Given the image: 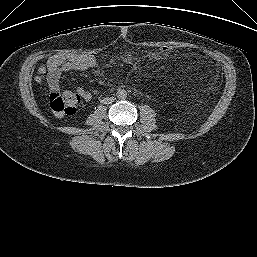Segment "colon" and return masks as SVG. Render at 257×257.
Instances as JSON below:
<instances>
[{
	"mask_svg": "<svg viewBox=\"0 0 257 257\" xmlns=\"http://www.w3.org/2000/svg\"><path fill=\"white\" fill-rule=\"evenodd\" d=\"M162 55H168L172 52V47L164 45L159 48ZM49 106L57 115H73L76 113L82 97L73 92L53 91L49 94Z\"/></svg>",
	"mask_w": 257,
	"mask_h": 257,
	"instance_id": "colon-1",
	"label": "colon"
}]
</instances>
